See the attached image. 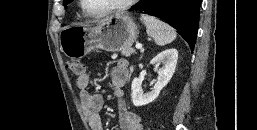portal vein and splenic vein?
<instances>
[{
  "mask_svg": "<svg viewBox=\"0 0 257 130\" xmlns=\"http://www.w3.org/2000/svg\"><path fill=\"white\" fill-rule=\"evenodd\" d=\"M136 48L137 49H142V45L138 44V45H136Z\"/></svg>",
  "mask_w": 257,
  "mask_h": 130,
  "instance_id": "18ae733b",
  "label": "portal vein and splenic vein"
}]
</instances>
